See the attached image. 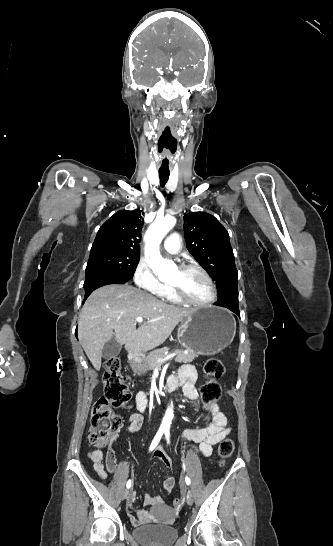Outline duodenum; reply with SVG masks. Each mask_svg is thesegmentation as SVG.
<instances>
[{"label": "duodenum", "mask_w": 333, "mask_h": 546, "mask_svg": "<svg viewBox=\"0 0 333 546\" xmlns=\"http://www.w3.org/2000/svg\"><path fill=\"white\" fill-rule=\"evenodd\" d=\"M132 357L135 358V355H132ZM165 387L168 390H174L176 389L177 384L171 377H169L166 381Z\"/></svg>", "instance_id": "1"}]
</instances>
